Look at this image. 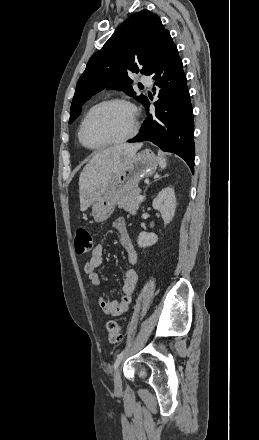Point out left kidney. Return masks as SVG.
<instances>
[{"instance_id":"left-kidney-1","label":"left kidney","mask_w":259,"mask_h":440,"mask_svg":"<svg viewBox=\"0 0 259 440\" xmlns=\"http://www.w3.org/2000/svg\"><path fill=\"white\" fill-rule=\"evenodd\" d=\"M152 206L161 213L164 225L169 224L176 210L175 191L171 187L163 188L153 200ZM158 240L155 233H139L137 244L140 248H146L154 245Z\"/></svg>"}]
</instances>
